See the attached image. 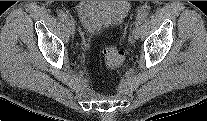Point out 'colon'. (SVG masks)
<instances>
[{"mask_svg": "<svg viewBox=\"0 0 207 121\" xmlns=\"http://www.w3.org/2000/svg\"><path fill=\"white\" fill-rule=\"evenodd\" d=\"M105 64L110 69H118L122 66L125 56L122 49L117 46H108L103 51Z\"/></svg>", "mask_w": 207, "mask_h": 121, "instance_id": "1", "label": "colon"}]
</instances>
